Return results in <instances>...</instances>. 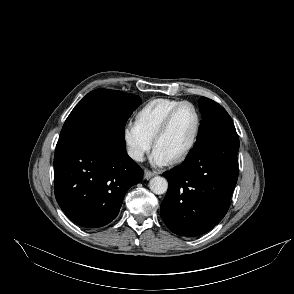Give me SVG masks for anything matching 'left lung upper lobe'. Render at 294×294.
<instances>
[{
	"label": "left lung upper lobe",
	"instance_id": "5c2ea615",
	"mask_svg": "<svg viewBox=\"0 0 294 294\" xmlns=\"http://www.w3.org/2000/svg\"><path fill=\"white\" fill-rule=\"evenodd\" d=\"M202 121L197 139L225 130H235L227 111L215 101L202 97L199 101Z\"/></svg>",
	"mask_w": 294,
	"mask_h": 294
}]
</instances>
